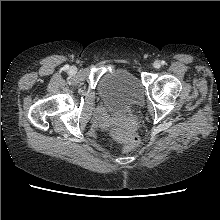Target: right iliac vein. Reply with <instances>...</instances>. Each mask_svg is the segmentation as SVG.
<instances>
[{"instance_id":"right-iliac-vein-1","label":"right iliac vein","mask_w":220,"mask_h":220,"mask_svg":"<svg viewBox=\"0 0 220 220\" xmlns=\"http://www.w3.org/2000/svg\"><path fill=\"white\" fill-rule=\"evenodd\" d=\"M70 72H71L72 74H75V73H76V68H75V67H71V68H70Z\"/></svg>"}]
</instances>
